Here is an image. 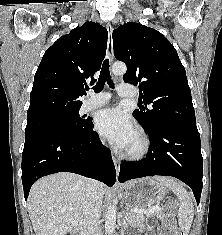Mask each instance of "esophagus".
<instances>
[{
  "label": "esophagus",
  "mask_w": 222,
  "mask_h": 235,
  "mask_svg": "<svg viewBox=\"0 0 222 235\" xmlns=\"http://www.w3.org/2000/svg\"><path fill=\"white\" fill-rule=\"evenodd\" d=\"M106 28L108 31L107 55L110 61L112 62L114 58L113 38H112L113 28L110 23L106 25ZM112 159H113V163L115 165V169L118 175L120 171V161L115 156H112Z\"/></svg>",
  "instance_id": "34e87169"
}]
</instances>
